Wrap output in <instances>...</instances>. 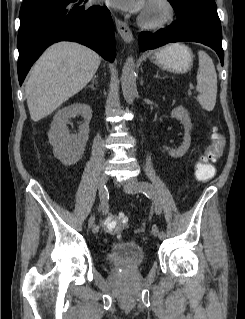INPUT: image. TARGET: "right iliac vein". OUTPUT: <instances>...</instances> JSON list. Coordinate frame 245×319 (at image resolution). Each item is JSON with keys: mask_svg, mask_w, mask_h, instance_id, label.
Here are the masks:
<instances>
[{"mask_svg": "<svg viewBox=\"0 0 245 319\" xmlns=\"http://www.w3.org/2000/svg\"><path fill=\"white\" fill-rule=\"evenodd\" d=\"M108 181V175L106 173H102L98 178V194L101 198L104 194L105 186ZM94 223V216H91L88 220V227L91 228ZM93 230V228H92Z\"/></svg>", "mask_w": 245, "mask_h": 319, "instance_id": "63e3f726", "label": "right iliac vein"}]
</instances>
